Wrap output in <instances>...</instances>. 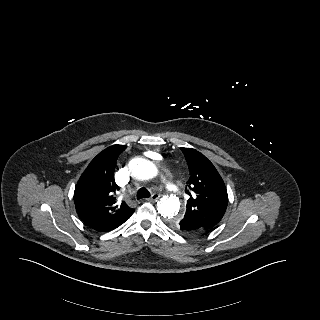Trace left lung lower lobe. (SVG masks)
<instances>
[{"instance_id": "obj_1", "label": "left lung lower lobe", "mask_w": 320, "mask_h": 320, "mask_svg": "<svg viewBox=\"0 0 320 320\" xmlns=\"http://www.w3.org/2000/svg\"><path fill=\"white\" fill-rule=\"evenodd\" d=\"M177 226L178 228H174L173 226L172 228L187 235H195L207 231L204 229L197 228L195 223L191 222L190 220H179Z\"/></svg>"}]
</instances>
